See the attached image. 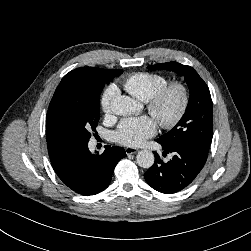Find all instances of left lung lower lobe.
I'll return each instance as SVG.
<instances>
[{"label": "left lung lower lobe", "instance_id": "left-lung-lower-lobe-1", "mask_svg": "<svg viewBox=\"0 0 251 251\" xmlns=\"http://www.w3.org/2000/svg\"><path fill=\"white\" fill-rule=\"evenodd\" d=\"M162 148L163 155L170 152L173 158L165 163L154 153L155 162L144 178L148 185L161 193H176L194 181L204 167L208 153L191 144Z\"/></svg>", "mask_w": 251, "mask_h": 251}]
</instances>
